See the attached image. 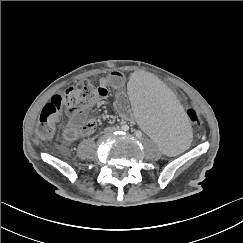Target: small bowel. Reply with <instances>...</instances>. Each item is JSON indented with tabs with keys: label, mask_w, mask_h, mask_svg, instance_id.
I'll list each match as a JSON object with an SVG mask.
<instances>
[{
	"label": "small bowel",
	"mask_w": 243,
	"mask_h": 243,
	"mask_svg": "<svg viewBox=\"0 0 243 243\" xmlns=\"http://www.w3.org/2000/svg\"><path fill=\"white\" fill-rule=\"evenodd\" d=\"M124 83V76L120 72H112L102 77L100 86H98L96 91L98 99L79 109L70 110L68 112V120L62 134L63 142L69 144L94 132L96 121L93 118H87V114L93 105L101 99L106 98L109 94V89L107 88L108 85L117 90L115 108L119 116L125 120L132 119V111L128 94L124 91Z\"/></svg>",
	"instance_id": "small-bowel-1"
}]
</instances>
